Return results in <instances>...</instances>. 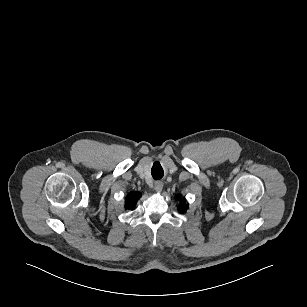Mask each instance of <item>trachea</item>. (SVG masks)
Returning a JSON list of instances; mask_svg holds the SVG:
<instances>
[{"label":"trachea","instance_id":"1","mask_svg":"<svg viewBox=\"0 0 307 307\" xmlns=\"http://www.w3.org/2000/svg\"><path fill=\"white\" fill-rule=\"evenodd\" d=\"M152 177L156 180V179H161L163 177V170L161 169H156L153 168L152 169Z\"/></svg>","mask_w":307,"mask_h":307}]
</instances>
